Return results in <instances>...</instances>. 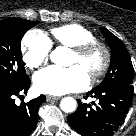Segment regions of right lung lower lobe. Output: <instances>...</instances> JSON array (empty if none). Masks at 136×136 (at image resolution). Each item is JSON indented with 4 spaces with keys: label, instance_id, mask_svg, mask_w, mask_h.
Masks as SVG:
<instances>
[{
    "label": "right lung lower lobe",
    "instance_id": "1",
    "mask_svg": "<svg viewBox=\"0 0 136 136\" xmlns=\"http://www.w3.org/2000/svg\"><path fill=\"white\" fill-rule=\"evenodd\" d=\"M31 84L28 78L15 88L0 90V136H29L38 122V108L45 96L15 104V96L27 93ZM20 97V96H19Z\"/></svg>",
    "mask_w": 136,
    "mask_h": 136
}]
</instances>
